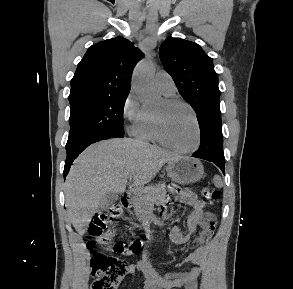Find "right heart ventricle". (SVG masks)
Masks as SVG:
<instances>
[{"label":"right heart ventricle","mask_w":293,"mask_h":289,"mask_svg":"<svg viewBox=\"0 0 293 289\" xmlns=\"http://www.w3.org/2000/svg\"><path fill=\"white\" fill-rule=\"evenodd\" d=\"M139 139L143 141H150L154 142L156 141L154 132H153V120H152V113L145 110V116L144 119L137 129V132L135 134Z\"/></svg>","instance_id":"obj_1"}]
</instances>
